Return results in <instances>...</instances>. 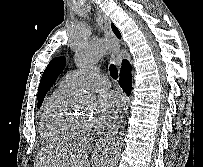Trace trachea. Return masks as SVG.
<instances>
[{"instance_id":"trachea-1","label":"trachea","mask_w":203,"mask_h":167,"mask_svg":"<svg viewBox=\"0 0 203 167\" xmlns=\"http://www.w3.org/2000/svg\"><path fill=\"white\" fill-rule=\"evenodd\" d=\"M109 71L113 79L118 78V70L114 64H110Z\"/></svg>"}]
</instances>
